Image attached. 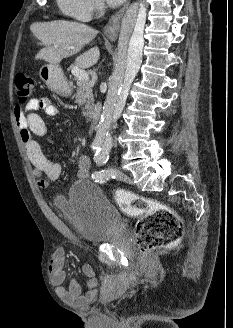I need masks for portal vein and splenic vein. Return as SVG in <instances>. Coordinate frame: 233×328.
<instances>
[{
  "instance_id": "1",
  "label": "portal vein and splenic vein",
  "mask_w": 233,
  "mask_h": 328,
  "mask_svg": "<svg viewBox=\"0 0 233 328\" xmlns=\"http://www.w3.org/2000/svg\"><path fill=\"white\" fill-rule=\"evenodd\" d=\"M56 46H59V45H56ZM64 49L66 50H71L73 49V47H67V46H64L63 47ZM71 73L78 77L79 80H83L85 82H88L89 81V75L87 72H85L84 70H81L79 67L77 66H74L71 70Z\"/></svg>"
}]
</instances>
